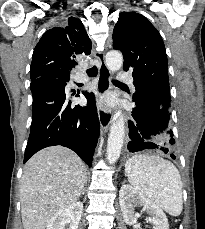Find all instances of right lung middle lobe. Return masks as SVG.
I'll list each match as a JSON object with an SVG mask.
<instances>
[{"mask_svg": "<svg viewBox=\"0 0 205 229\" xmlns=\"http://www.w3.org/2000/svg\"><path fill=\"white\" fill-rule=\"evenodd\" d=\"M57 77L60 78V79H62V80H64V81H66V82L69 81V77H68V76H61V75H58Z\"/></svg>", "mask_w": 205, "mask_h": 229, "instance_id": "obj_1", "label": "right lung middle lobe"}]
</instances>
